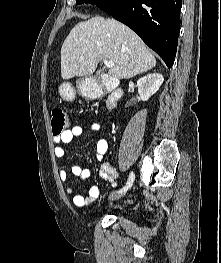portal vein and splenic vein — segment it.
I'll use <instances>...</instances> for the list:
<instances>
[{"label": "portal vein and splenic vein", "mask_w": 221, "mask_h": 263, "mask_svg": "<svg viewBox=\"0 0 221 263\" xmlns=\"http://www.w3.org/2000/svg\"><path fill=\"white\" fill-rule=\"evenodd\" d=\"M103 62L105 64V66H107V67H113L115 65L113 61H110L107 59H104Z\"/></svg>", "instance_id": "obj_1"}]
</instances>
